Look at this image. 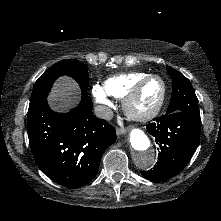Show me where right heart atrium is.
Instances as JSON below:
<instances>
[{
	"label": "right heart atrium",
	"instance_id": "right-heart-atrium-1",
	"mask_svg": "<svg viewBox=\"0 0 221 221\" xmlns=\"http://www.w3.org/2000/svg\"><path fill=\"white\" fill-rule=\"evenodd\" d=\"M92 95L95 101L101 106L104 115L108 113V108L111 106V101L107 92L100 85H94L92 87Z\"/></svg>",
	"mask_w": 221,
	"mask_h": 221
}]
</instances>
